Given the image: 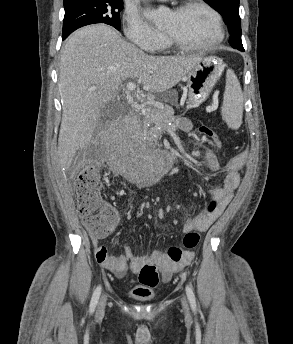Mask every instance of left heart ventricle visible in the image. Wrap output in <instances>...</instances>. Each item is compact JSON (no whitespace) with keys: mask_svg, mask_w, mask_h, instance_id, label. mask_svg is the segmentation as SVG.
I'll return each instance as SVG.
<instances>
[{"mask_svg":"<svg viewBox=\"0 0 293 344\" xmlns=\"http://www.w3.org/2000/svg\"><path fill=\"white\" fill-rule=\"evenodd\" d=\"M163 31L189 44H204L216 34L212 16L195 7L182 13L170 12L163 24Z\"/></svg>","mask_w":293,"mask_h":344,"instance_id":"b2bd125f","label":"left heart ventricle"}]
</instances>
